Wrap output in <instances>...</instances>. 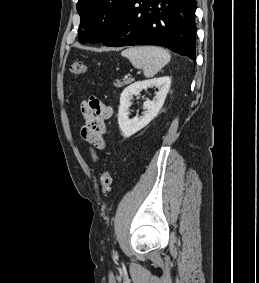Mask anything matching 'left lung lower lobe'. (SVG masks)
I'll return each mask as SVG.
<instances>
[{
  "instance_id": "1",
  "label": "left lung lower lobe",
  "mask_w": 259,
  "mask_h": 283,
  "mask_svg": "<svg viewBox=\"0 0 259 283\" xmlns=\"http://www.w3.org/2000/svg\"><path fill=\"white\" fill-rule=\"evenodd\" d=\"M196 0H131L106 46L158 45L195 60Z\"/></svg>"
}]
</instances>
